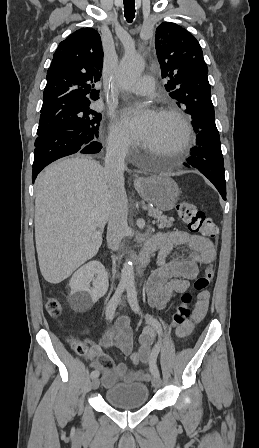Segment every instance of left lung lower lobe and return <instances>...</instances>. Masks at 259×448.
<instances>
[{
    "instance_id": "1",
    "label": "left lung lower lobe",
    "mask_w": 259,
    "mask_h": 448,
    "mask_svg": "<svg viewBox=\"0 0 259 448\" xmlns=\"http://www.w3.org/2000/svg\"><path fill=\"white\" fill-rule=\"evenodd\" d=\"M197 145L191 149V156L184 163L204 174L226 200V181L224 160L221 152L220 137L217 128L200 130L196 136Z\"/></svg>"
}]
</instances>
